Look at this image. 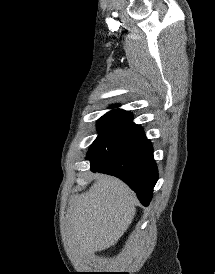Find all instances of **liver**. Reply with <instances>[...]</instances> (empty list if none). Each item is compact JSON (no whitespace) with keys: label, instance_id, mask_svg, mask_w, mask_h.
Here are the masks:
<instances>
[{"label":"liver","instance_id":"liver-1","mask_svg":"<svg viewBox=\"0 0 215 274\" xmlns=\"http://www.w3.org/2000/svg\"><path fill=\"white\" fill-rule=\"evenodd\" d=\"M88 192L71 198L67 230L71 250L89 256L116 244L136 213V195L117 178L97 174Z\"/></svg>","mask_w":215,"mask_h":274}]
</instances>
